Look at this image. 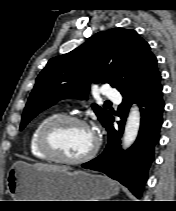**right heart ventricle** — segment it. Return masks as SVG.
<instances>
[{
    "mask_svg": "<svg viewBox=\"0 0 176 211\" xmlns=\"http://www.w3.org/2000/svg\"><path fill=\"white\" fill-rule=\"evenodd\" d=\"M56 115H58V114L45 115L44 117H42L40 120H38L36 122V124L34 125L32 131H31V134L29 137V151H30V154L38 160H42V161L51 160V158L49 156H47L45 153H43L39 147V133L41 131L42 126L49 119L53 118Z\"/></svg>",
    "mask_w": 176,
    "mask_h": 211,
    "instance_id": "right-heart-ventricle-1",
    "label": "right heart ventricle"
}]
</instances>
